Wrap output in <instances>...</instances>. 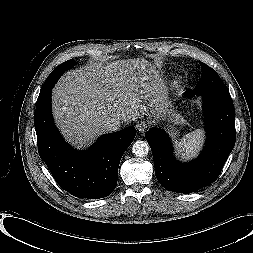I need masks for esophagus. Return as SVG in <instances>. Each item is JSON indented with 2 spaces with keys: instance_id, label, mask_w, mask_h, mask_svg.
<instances>
[{
  "instance_id": "esophagus-1",
  "label": "esophagus",
  "mask_w": 253,
  "mask_h": 253,
  "mask_svg": "<svg viewBox=\"0 0 253 253\" xmlns=\"http://www.w3.org/2000/svg\"><path fill=\"white\" fill-rule=\"evenodd\" d=\"M147 124L145 121H140L136 124V128L138 129V131L140 132H144L147 129Z\"/></svg>"
}]
</instances>
